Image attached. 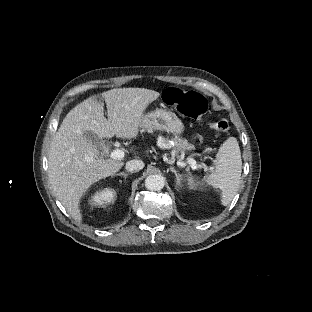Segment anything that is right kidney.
I'll use <instances>...</instances> for the list:
<instances>
[{"label":"right kidney","instance_id":"obj_1","mask_svg":"<svg viewBox=\"0 0 312 312\" xmlns=\"http://www.w3.org/2000/svg\"><path fill=\"white\" fill-rule=\"evenodd\" d=\"M116 199V192L111 188H105L96 192L89 198V204L96 207H105L114 202Z\"/></svg>","mask_w":312,"mask_h":312}]
</instances>
